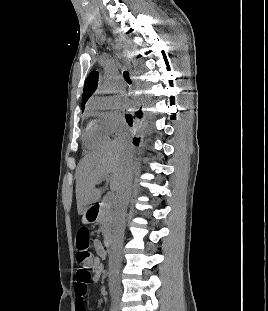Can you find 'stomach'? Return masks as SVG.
<instances>
[{
    "instance_id": "1",
    "label": "stomach",
    "mask_w": 268,
    "mask_h": 311,
    "mask_svg": "<svg viewBox=\"0 0 268 311\" xmlns=\"http://www.w3.org/2000/svg\"><path fill=\"white\" fill-rule=\"evenodd\" d=\"M86 211H87V210H86ZM82 223H84V224L90 223V221L88 220V218H87V216H86V212L83 213Z\"/></svg>"
}]
</instances>
